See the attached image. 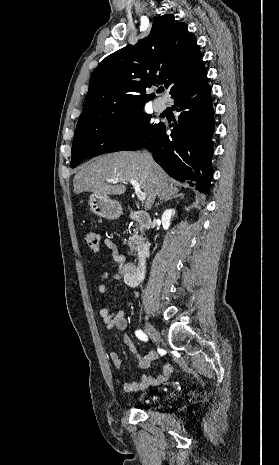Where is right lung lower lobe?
Segmentation results:
<instances>
[{
  "label": "right lung lower lobe",
  "instance_id": "right-lung-lower-lobe-1",
  "mask_svg": "<svg viewBox=\"0 0 279 465\" xmlns=\"http://www.w3.org/2000/svg\"><path fill=\"white\" fill-rule=\"evenodd\" d=\"M172 98L180 113L170 136L164 124L142 147L153 153L154 160L174 179L196 186L208 193L213 177L212 137L215 130L211 88L207 76L182 87Z\"/></svg>",
  "mask_w": 279,
  "mask_h": 465
}]
</instances>
